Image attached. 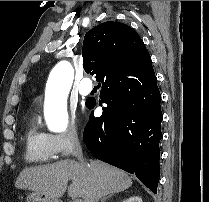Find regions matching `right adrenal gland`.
Wrapping results in <instances>:
<instances>
[{
	"label": "right adrenal gland",
	"instance_id": "1",
	"mask_svg": "<svg viewBox=\"0 0 209 202\" xmlns=\"http://www.w3.org/2000/svg\"><path fill=\"white\" fill-rule=\"evenodd\" d=\"M113 194H109L101 199V202H106Z\"/></svg>",
	"mask_w": 209,
	"mask_h": 202
}]
</instances>
